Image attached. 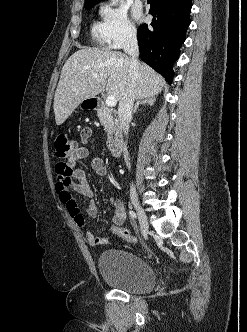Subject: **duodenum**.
Instances as JSON below:
<instances>
[{
    "mask_svg": "<svg viewBox=\"0 0 247 332\" xmlns=\"http://www.w3.org/2000/svg\"><path fill=\"white\" fill-rule=\"evenodd\" d=\"M91 106L94 110L113 117L115 113L108 109L104 102L100 99H93ZM109 148L113 155L119 156L123 150V137L121 131L117 127H113L109 136Z\"/></svg>",
    "mask_w": 247,
    "mask_h": 332,
    "instance_id": "1",
    "label": "duodenum"
}]
</instances>
